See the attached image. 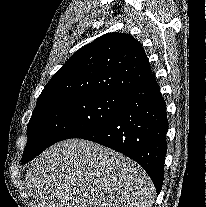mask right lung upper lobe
<instances>
[{"label":"right lung upper lobe","mask_w":206,"mask_h":207,"mask_svg":"<svg viewBox=\"0 0 206 207\" xmlns=\"http://www.w3.org/2000/svg\"><path fill=\"white\" fill-rule=\"evenodd\" d=\"M151 74L145 51L136 39L108 33L72 55L44 87L37 104L67 96L125 94Z\"/></svg>","instance_id":"obj_1"}]
</instances>
